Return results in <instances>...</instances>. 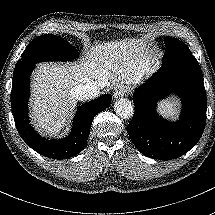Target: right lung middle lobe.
Segmentation results:
<instances>
[{
    "instance_id": "1",
    "label": "right lung middle lobe",
    "mask_w": 215,
    "mask_h": 215,
    "mask_svg": "<svg viewBox=\"0 0 215 215\" xmlns=\"http://www.w3.org/2000/svg\"><path fill=\"white\" fill-rule=\"evenodd\" d=\"M79 53L70 43L56 35H42L35 38L24 50L15 69L22 65L36 64L43 61H71Z\"/></svg>"
}]
</instances>
